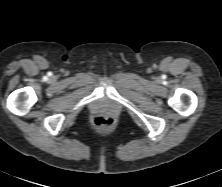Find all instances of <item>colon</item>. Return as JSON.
<instances>
[{"label":"colon","instance_id":"colon-1","mask_svg":"<svg viewBox=\"0 0 222 187\" xmlns=\"http://www.w3.org/2000/svg\"><path fill=\"white\" fill-rule=\"evenodd\" d=\"M93 123L99 128L108 129L113 125V119L109 117H96L93 120Z\"/></svg>","mask_w":222,"mask_h":187}]
</instances>
